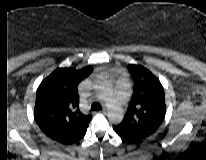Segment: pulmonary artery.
I'll use <instances>...</instances> for the list:
<instances>
[{"label":"pulmonary artery","mask_w":206,"mask_h":160,"mask_svg":"<svg viewBox=\"0 0 206 160\" xmlns=\"http://www.w3.org/2000/svg\"><path fill=\"white\" fill-rule=\"evenodd\" d=\"M114 95L119 103H123L127 97V84L124 80H119L115 87Z\"/></svg>","instance_id":"pulmonary-artery-1"}]
</instances>
